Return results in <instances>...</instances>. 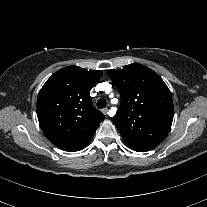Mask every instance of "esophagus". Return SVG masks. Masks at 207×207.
<instances>
[{
    "mask_svg": "<svg viewBox=\"0 0 207 207\" xmlns=\"http://www.w3.org/2000/svg\"><path fill=\"white\" fill-rule=\"evenodd\" d=\"M102 112H103L105 115H108V108H104V109H102Z\"/></svg>",
    "mask_w": 207,
    "mask_h": 207,
    "instance_id": "1",
    "label": "esophagus"
}]
</instances>
